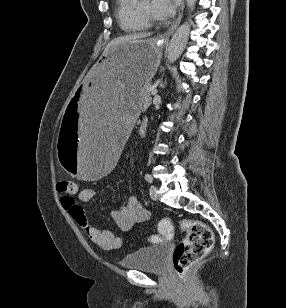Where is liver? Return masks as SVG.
Masks as SVG:
<instances>
[{
  "label": "liver",
  "mask_w": 286,
  "mask_h": 308,
  "mask_svg": "<svg viewBox=\"0 0 286 308\" xmlns=\"http://www.w3.org/2000/svg\"><path fill=\"white\" fill-rule=\"evenodd\" d=\"M150 35H151V33H134V34H130V35L117 37V38L113 39L106 46L103 55L107 54L112 48H114L118 45L137 41V40H141V39H144L146 37H149Z\"/></svg>",
  "instance_id": "obj_1"
}]
</instances>
